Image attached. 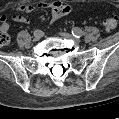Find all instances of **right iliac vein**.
Returning <instances> with one entry per match:
<instances>
[{"label":"right iliac vein","mask_w":119,"mask_h":119,"mask_svg":"<svg viewBox=\"0 0 119 119\" xmlns=\"http://www.w3.org/2000/svg\"><path fill=\"white\" fill-rule=\"evenodd\" d=\"M41 37H42V32H41V34L39 36H36L34 34V41H39L41 39Z\"/></svg>","instance_id":"right-iliac-vein-1"}]
</instances>
